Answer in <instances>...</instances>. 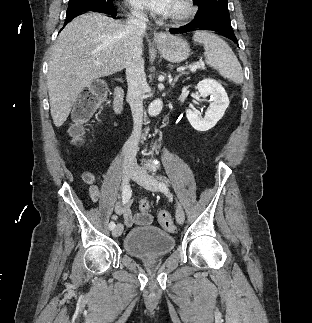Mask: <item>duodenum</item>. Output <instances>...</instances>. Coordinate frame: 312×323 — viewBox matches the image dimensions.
Masks as SVG:
<instances>
[{
  "instance_id": "obj_1",
  "label": "duodenum",
  "mask_w": 312,
  "mask_h": 323,
  "mask_svg": "<svg viewBox=\"0 0 312 323\" xmlns=\"http://www.w3.org/2000/svg\"><path fill=\"white\" fill-rule=\"evenodd\" d=\"M114 110L119 116L125 112V90L119 85L114 89Z\"/></svg>"
}]
</instances>
